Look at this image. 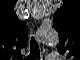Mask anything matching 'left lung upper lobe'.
<instances>
[{
  "mask_svg": "<svg viewBox=\"0 0 80 60\" xmlns=\"http://www.w3.org/2000/svg\"><path fill=\"white\" fill-rule=\"evenodd\" d=\"M63 14H64V8L57 11V13L54 15V20H53V24L61 36V42H63L64 33H66V30L69 31L70 29L69 16L67 18L66 15Z\"/></svg>",
  "mask_w": 80,
  "mask_h": 60,
  "instance_id": "obj_1",
  "label": "left lung upper lobe"
}]
</instances>
